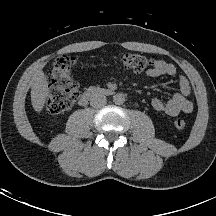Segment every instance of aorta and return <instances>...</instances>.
Masks as SVG:
<instances>
[{"instance_id":"aorta-1","label":"aorta","mask_w":216,"mask_h":216,"mask_svg":"<svg viewBox=\"0 0 216 216\" xmlns=\"http://www.w3.org/2000/svg\"><path fill=\"white\" fill-rule=\"evenodd\" d=\"M113 102L116 105H122L125 102V95L122 93H117L113 96Z\"/></svg>"}]
</instances>
